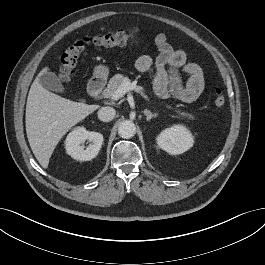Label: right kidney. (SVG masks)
<instances>
[{
  "mask_svg": "<svg viewBox=\"0 0 265 265\" xmlns=\"http://www.w3.org/2000/svg\"><path fill=\"white\" fill-rule=\"evenodd\" d=\"M90 144L84 149V142ZM103 143V135L98 132L87 131L84 127H77L70 132L65 141L68 155L76 160L89 161L97 156Z\"/></svg>",
  "mask_w": 265,
  "mask_h": 265,
  "instance_id": "ca27d5eb",
  "label": "right kidney"
}]
</instances>
